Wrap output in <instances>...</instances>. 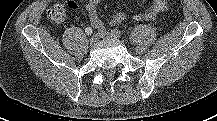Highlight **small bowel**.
Masks as SVG:
<instances>
[{
    "mask_svg": "<svg viewBox=\"0 0 217 121\" xmlns=\"http://www.w3.org/2000/svg\"><path fill=\"white\" fill-rule=\"evenodd\" d=\"M101 1L102 0H88L87 4H86V11L89 15L91 25L93 28L98 29V30H100L104 27L103 22L99 18L98 13H97V7ZM68 6L71 9H74L77 7V2L75 0H70L68 2ZM165 9H166L165 0H152L151 9L146 13H141V14L135 15L134 19L137 21H149V20L154 19L160 12L164 11ZM125 19H126L125 13L119 11V12H116L112 16V18L110 20V24L111 25H118V24L122 23Z\"/></svg>",
    "mask_w": 217,
    "mask_h": 121,
    "instance_id": "obj_1",
    "label": "small bowel"
}]
</instances>
